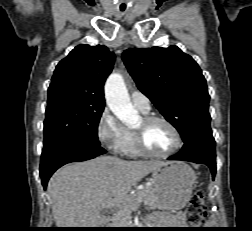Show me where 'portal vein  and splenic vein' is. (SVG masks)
I'll use <instances>...</instances> for the list:
<instances>
[{"label":"portal vein and splenic vein","mask_w":252,"mask_h":231,"mask_svg":"<svg viewBox=\"0 0 252 231\" xmlns=\"http://www.w3.org/2000/svg\"><path fill=\"white\" fill-rule=\"evenodd\" d=\"M132 201V198L130 196H126L123 200L119 202H113L109 201L105 205H103V208H111V207H120L124 204L130 203Z\"/></svg>","instance_id":"obj_1"}]
</instances>
